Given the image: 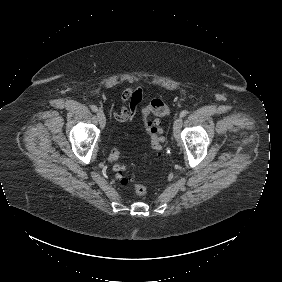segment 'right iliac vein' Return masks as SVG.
I'll return each mask as SVG.
<instances>
[{
  "instance_id": "63e3f726",
  "label": "right iliac vein",
  "mask_w": 282,
  "mask_h": 282,
  "mask_svg": "<svg viewBox=\"0 0 282 282\" xmlns=\"http://www.w3.org/2000/svg\"><path fill=\"white\" fill-rule=\"evenodd\" d=\"M97 118H98V121H99V124L102 128L105 127V124H106V118H105V115L102 111H98L97 112Z\"/></svg>"
}]
</instances>
